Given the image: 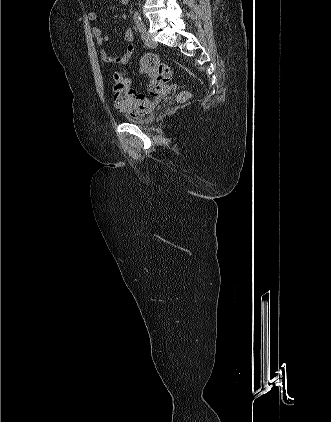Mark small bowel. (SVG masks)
Returning <instances> with one entry per match:
<instances>
[{
	"mask_svg": "<svg viewBox=\"0 0 331 422\" xmlns=\"http://www.w3.org/2000/svg\"><path fill=\"white\" fill-rule=\"evenodd\" d=\"M120 2L123 3L122 0H120ZM88 18L91 21H96L98 18L97 12L94 10L89 11ZM122 19L125 20L126 15H122ZM92 33L97 41V44L101 48L100 55L104 63L108 65H125L128 63L135 49L133 44L134 33L131 29H127L124 33V39L127 42V46L125 51L119 55H111L103 48L104 44L109 40V36L104 35L98 26L92 27Z\"/></svg>",
	"mask_w": 331,
	"mask_h": 422,
	"instance_id": "1",
	"label": "small bowel"
}]
</instances>
